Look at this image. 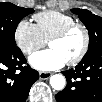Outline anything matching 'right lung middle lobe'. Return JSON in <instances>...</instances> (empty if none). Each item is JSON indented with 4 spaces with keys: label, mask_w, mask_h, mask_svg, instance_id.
I'll return each instance as SVG.
<instances>
[{
    "label": "right lung middle lobe",
    "mask_w": 102,
    "mask_h": 102,
    "mask_svg": "<svg viewBox=\"0 0 102 102\" xmlns=\"http://www.w3.org/2000/svg\"><path fill=\"white\" fill-rule=\"evenodd\" d=\"M33 12V9L18 7L12 3H0V47L17 48L14 37L17 25Z\"/></svg>",
    "instance_id": "1"
}]
</instances>
